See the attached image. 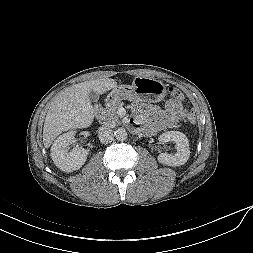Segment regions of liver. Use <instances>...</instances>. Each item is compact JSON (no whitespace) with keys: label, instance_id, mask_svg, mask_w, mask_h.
Listing matches in <instances>:
<instances>
[{"label":"liver","instance_id":"liver-1","mask_svg":"<svg viewBox=\"0 0 253 253\" xmlns=\"http://www.w3.org/2000/svg\"><path fill=\"white\" fill-rule=\"evenodd\" d=\"M117 86L114 79L102 78L72 85L54 97L43 127V142L48 148L64 131L89 127L94 119V108L88 93L98 94Z\"/></svg>","mask_w":253,"mask_h":253}]
</instances>
